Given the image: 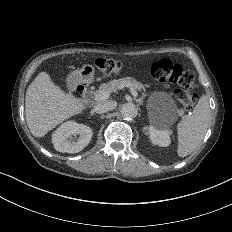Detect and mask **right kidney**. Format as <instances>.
<instances>
[{
    "label": "right kidney",
    "mask_w": 232,
    "mask_h": 232,
    "mask_svg": "<svg viewBox=\"0 0 232 232\" xmlns=\"http://www.w3.org/2000/svg\"><path fill=\"white\" fill-rule=\"evenodd\" d=\"M92 130L83 124L66 122L53 135L54 148L61 153L82 151L91 141Z\"/></svg>",
    "instance_id": "ca27d5eb"
}]
</instances>
